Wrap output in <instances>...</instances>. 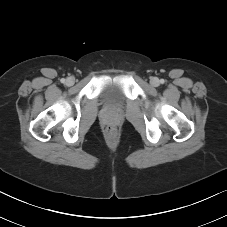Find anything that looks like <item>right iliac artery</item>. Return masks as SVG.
<instances>
[{"instance_id": "1", "label": "right iliac artery", "mask_w": 227, "mask_h": 227, "mask_svg": "<svg viewBox=\"0 0 227 227\" xmlns=\"http://www.w3.org/2000/svg\"><path fill=\"white\" fill-rule=\"evenodd\" d=\"M60 81H61L62 83H65V79H64V78H62Z\"/></svg>"}]
</instances>
